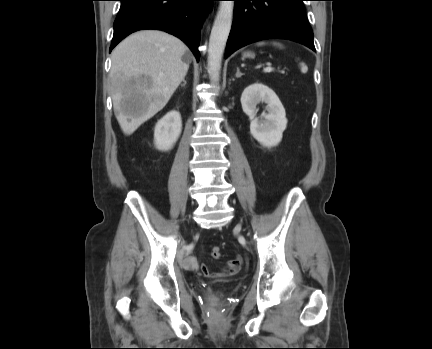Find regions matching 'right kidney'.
<instances>
[{
    "label": "right kidney",
    "mask_w": 432,
    "mask_h": 349,
    "mask_svg": "<svg viewBox=\"0 0 432 349\" xmlns=\"http://www.w3.org/2000/svg\"><path fill=\"white\" fill-rule=\"evenodd\" d=\"M182 130L181 115L172 110L164 115L154 129V144L162 151L170 150L178 140Z\"/></svg>",
    "instance_id": "1"
}]
</instances>
